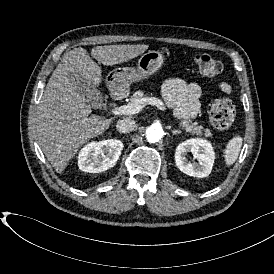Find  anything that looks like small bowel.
<instances>
[{"label":"small bowel","instance_id":"obj_1","mask_svg":"<svg viewBox=\"0 0 274 274\" xmlns=\"http://www.w3.org/2000/svg\"><path fill=\"white\" fill-rule=\"evenodd\" d=\"M224 94H231L232 87L227 82L218 84ZM163 96L167 105L174 109L180 120L196 117L201 110V88L197 83H186L180 78H169L163 84Z\"/></svg>","mask_w":274,"mask_h":274}]
</instances>
